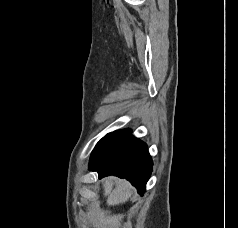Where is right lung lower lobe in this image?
Listing matches in <instances>:
<instances>
[{"label":"right lung lower lobe","mask_w":238,"mask_h":228,"mask_svg":"<svg viewBox=\"0 0 238 228\" xmlns=\"http://www.w3.org/2000/svg\"><path fill=\"white\" fill-rule=\"evenodd\" d=\"M153 162L147 145L134 138L130 129L107 134L94 148L89 163L99 178L115 175L129 180L143 195L152 172Z\"/></svg>","instance_id":"98d812e1"}]
</instances>
